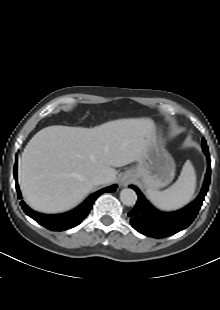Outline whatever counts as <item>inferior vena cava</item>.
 <instances>
[{"instance_id": "602c4592", "label": "inferior vena cava", "mask_w": 220, "mask_h": 310, "mask_svg": "<svg viewBox=\"0 0 220 310\" xmlns=\"http://www.w3.org/2000/svg\"><path fill=\"white\" fill-rule=\"evenodd\" d=\"M92 183L94 185H101V184H106L108 182V179L106 176L102 174H97L91 179Z\"/></svg>"}]
</instances>
